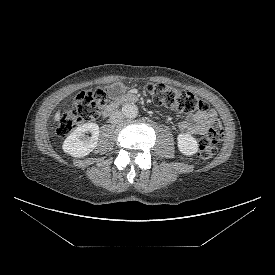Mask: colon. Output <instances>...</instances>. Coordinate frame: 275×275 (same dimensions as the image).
Returning <instances> with one entry per match:
<instances>
[{"label": "colon", "mask_w": 275, "mask_h": 275, "mask_svg": "<svg viewBox=\"0 0 275 275\" xmlns=\"http://www.w3.org/2000/svg\"><path fill=\"white\" fill-rule=\"evenodd\" d=\"M150 100L156 105L177 109L184 113L207 110V105L197 95L178 90L163 83H150L145 86ZM107 96L103 89L82 91L73 97V109L62 113L57 127L59 136H66L84 123L96 119L103 111ZM223 138V128L219 121H214L199 140L198 157L210 159L216 152L218 143Z\"/></svg>", "instance_id": "1"}]
</instances>
